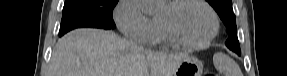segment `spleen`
I'll return each instance as SVG.
<instances>
[{
	"label": "spleen",
	"mask_w": 287,
	"mask_h": 76,
	"mask_svg": "<svg viewBox=\"0 0 287 76\" xmlns=\"http://www.w3.org/2000/svg\"><path fill=\"white\" fill-rule=\"evenodd\" d=\"M215 68L224 76H243L239 65L228 55L218 52L213 56Z\"/></svg>",
	"instance_id": "spleen-1"
}]
</instances>
